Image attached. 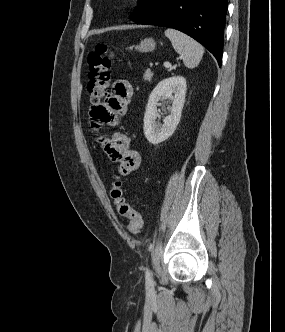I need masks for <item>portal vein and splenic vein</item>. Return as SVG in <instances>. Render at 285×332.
I'll use <instances>...</instances> for the list:
<instances>
[{
  "mask_svg": "<svg viewBox=\"0 0 285 332\" xmlns=\"http://www.w3.org/2000/svg\"><path fill=\"white\" fill-rule=\"evenodd\" d=\"M164 67L166 68H170L171 67V64L169 62H164Z\"/></svg>",
  "mask_w": 285,
  "mask_h": 332,
  "instance_id": "1",
  "label": "portal vein and splenic vein"
}]
</instances>
